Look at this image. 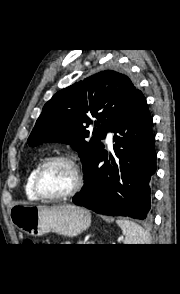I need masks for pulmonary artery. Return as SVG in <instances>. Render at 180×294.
<instances>
[{"instance_id": "e3ab8cb5", "label": "pulmonary artery", "mask_w": 180, "mask_h": 294, "mask_svg": "<svg viewBox=\"0 0 180 294\" xmlns=\"http://www.w3.org/2000/svg\"><path fill=\"white\" fill-rule=\"evenodd\" d=\"M112 139H113V134H112V132H108L107 133V136H106V143L108 144V145H111V143H112Z\"/></svg>"}]
</instances>
